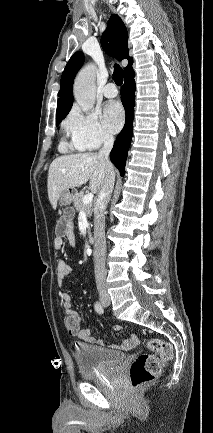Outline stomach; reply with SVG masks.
<instances>
[{
  "label": "stomach",
  "instance_id": "stomach-1",
  "mask_svg": "<svg viewBox=\"0 0 213 433\" xmlns=\"http://www.w3.org/2000/svg\"><path fill=\"white\" fill-rule=\"evenodd\" d=\"M75 196V192L72 189H66L59 195V203L63 206H69Z\"/></svg>",
  "mask_w": 213,
  "mask_h": 433
}]
</instances>
